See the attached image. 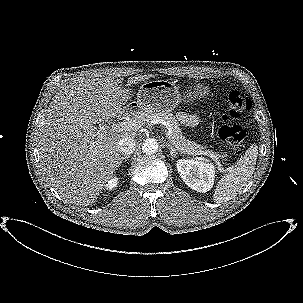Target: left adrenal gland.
<instances>
[{
    "instance_id": "a2214340",
    "label": "left adrenal gland",
    "mask_w": 303,
    "mask_h": 303,
    "mask_svg": "<svg viewBox=\"0 0 303 303\" xmlns=\"http://www.w3.org/2000/svg\"><path fill=\"white\" fill-rule=\"evenodd\" d=\"M167 148L170 150V154L172 158H175L176 155L178 154L177 150L173 148L170 144H166Z\"/></svg>"
}]
</instances>
